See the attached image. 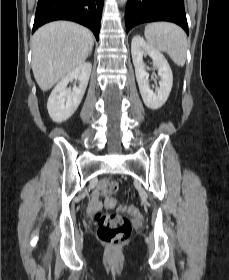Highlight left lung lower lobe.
Returning a JSON list of instances; mask_svg holds the SVG:
<instances>
[{
  "label": "left lung lower lobe",
  "mask_w": 229,
  "mask_h": 280,
  "mask_svg": "<svg viewBox=\"0 0 229 280\" xmlns=\"http://www.w3.org/2000/svg\"><path fill=\"white\" fill-rule=\"evenodd\" d=\"M154 21L176 23L188 34L184 0H128L125 12L127 32L138 24Z\"/></svg>",
  "instance_id": "obj_1"
}]
</instances>
